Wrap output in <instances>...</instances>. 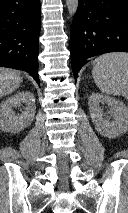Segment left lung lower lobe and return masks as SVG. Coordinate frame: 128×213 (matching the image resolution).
Wrapping results in <instances>:
<instances>
[{
  "label": "left lung lower lobe",
  "mask_w": 128,
  "mask_h": 213,
  "mask_svg": "<svg viewBox=\"0 0 128 213\" xmlns=\"http://www.w3.org/2000/svg\"><path fill=\"white\" fill-rule=\"evenodd\" d=\"M70 50L74 78L90 57L128 52V0H79Z\"/></svg>",
  "instance_id": "obj_1"
}]
</instances>
